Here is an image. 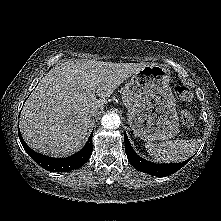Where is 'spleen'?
<instances>
[{
    "mask_svg": "<svg viewBox=\"0 0 221 221\" xmlns=\"http://www.w3.org/2000/svg\"><path fill=\"white\" fill-rule=\"evenodd\" d=\"M199 139L174 140L161 143L147 142V152L157 161L182 162L191 157L200 147Z\"/></svg>",
    "mask_w": 221,
    "mask_h": 221,
    "instance_id": "1",
    "label": "spleen"
}]
</instances>
